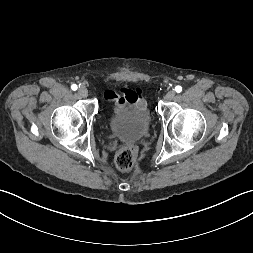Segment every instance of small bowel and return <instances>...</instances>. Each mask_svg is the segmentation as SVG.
<instances>
[{
  "label": "small bowel",
  "mask_w": 253,
  "mask_h": 253,
  "mask_svg": "<svg viewBox=\"0 0 253 253\" xmlns=\"http://www.w3.org/2000/svg\"><path fill=\"white\" fill-rule=\"evenodd\" d=\"M104 97L107 100L115 101L117 105H132L142 107L145 105L141 89L123 88L119 92L107 90L104 92Z\"/></svg>",
  "instance_id": "small-bowel-1"
}]
</instances>
